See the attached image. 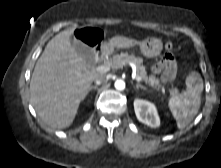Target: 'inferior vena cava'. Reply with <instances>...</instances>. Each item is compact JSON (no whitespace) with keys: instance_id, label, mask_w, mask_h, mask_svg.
<instances>
[{"instance_id":"obj_1","label":"inferior vena cava","mask_w":221,"mask_h":168,"mask_svg":"<svg viewBox=\"0 0 221 168\" xmlns=\"http://www.w3.org/2000/svg\"><path fill=\"white\" fill-rule=\"evenodd\" d=\"M94 81L97 85H100V84L105 83L107 81V77L105 74H99L96 76Z\"/></svg>"}]
</instances>
